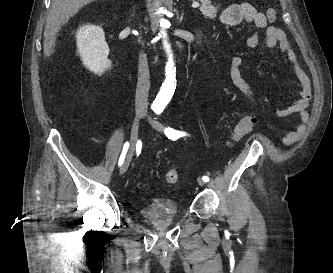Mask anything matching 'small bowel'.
I'll return each instance as SVG.
<instances>
[{"label": "small bowel", "instance_id": "c3829d8e", "mask_svg": "<svg viewBox=\"0 0 333 273\" xmlns=\"http://www.w3.org/2000/svg\"><path fill=\"white\" fill-rule=\"evenodd\" d=\"M267 15L263 12L258 11L255 7H253L249 3H233L228 5L221 14V22L226 27H236L240 25L242 22H249L253 24L258 29L266 30V46L269 48H273L278 46L283 52L286 53L287 59L289 63L293 66L295 74L301 84V92L302 97L298 103L294 106L287 109H280L278 111V115L281 117H286L291 114H299L301 118L304 120L305 113L304 109L307 104V92H308V83L307 77L303 70L300 68L298 63V58L290 46L289 41L286 38L284 31L277 27L269 25V23L265 22V17ZM260 43V38L257 34H252L248 36L245 40V44L248 47L254 48L257 47ZM244 59L241 56H234L230 59L229 62V75L233 82V84L238 88V90L246 97L251 103L257 104V98L247 83V81L243 78L241 74V68L244 65ZM255 123L257 121L255 116H252ZM302 130V126L298 128L300 132ZM297 134L292 133L288 137V141H293L296 138ZM91 141L97 145H101V140L93 136L91 137Z\"/></svg>", "mask_w": 333, "mask_h": 273}]
</instances>
